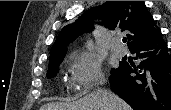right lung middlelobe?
I'll return each instance as SVG.
<instances>
[{
	"mask_svg": "<svg viewBox=\"0 0 171 110\" xmlns=\"http://www.w3.org/2000/svg\"><path fill=\"white\" fill-rule=\"evenodd\" d=\"M64 56L65 55L58 56V57H55V58H52L49 60V68H48V72H47V78H51V77L55 76V74L58 71L59 65L63 61Z\"/></svg>",
	"mask_w": 171,
	"mask_h": 110,
	"instance_id": "obj_1",
	"label": "right lung middle lobe"
}]
</instances>
